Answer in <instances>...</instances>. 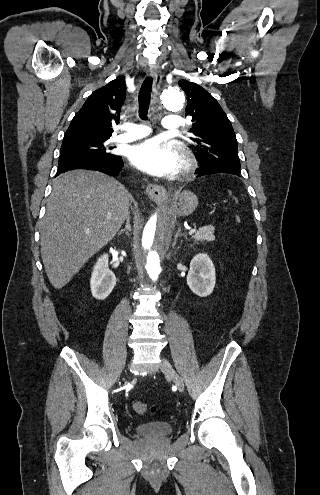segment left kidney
Returning a JSON list of instances; mask_svg holds the SVG:
<instances>
[{
  "label": "left kidney",
  "instance_id": "left-kidney-1",
  "mask_svg": "<svg viewBox=\"0 0 320 495\" xmlns=\"http://www.w3.org/2000/svg\"><path fill=\"white\" fill-rule=\"evenodd\" d=\"M215 283V267L209 256L205 253L194 256L187 275V285L192 292L206 297L213 292Z\"/></svg>",
  "mask_w": 320,
  "mask_h": 495
}]
</instances>
